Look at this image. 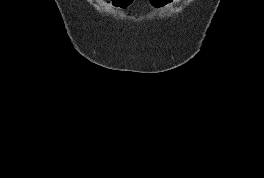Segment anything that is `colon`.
Segmentation results:
<instances>
[{
    "label": "colon",
    "instance_id": "1",
    "mask_svg": "<svg viewBox=\"0 0 264 178\" xmlns=\"http://www.w3.org/2000/svg\"><path fill=\"white\" fill-rule=\"evenodd\" d=\"M133 0H111L112 6L117 10H125ZM171 0H149L150 5L155 9H163L169 5Z\"/></svg>",
    "mask_w": 264,
    "mask_h": 178
}]
</instances>
